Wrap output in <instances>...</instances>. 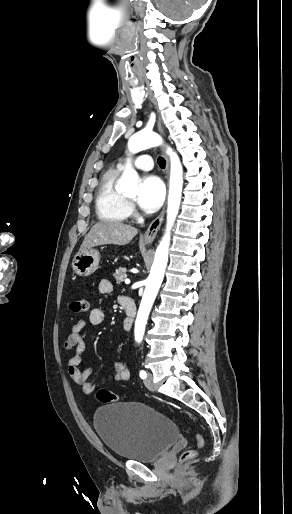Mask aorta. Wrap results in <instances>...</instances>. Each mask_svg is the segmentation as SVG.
Listing matches in <instances>:
<instances>
[{"label":"aorta","instance_id":"1","mask_svg":"<svg viewBox=\"0 0 292 514\" xmlns=\"http://www.w3.org/2000/svg\"><path fill=\"white\" fill-rule=\"evenodd\" d=\"M160 136L156 132L150 130H142L135 136H132L128 142V148L132 154L148 150V148H155L160 146ZM166 154L170 158V180H169V196L167 206V226L166 234L160 242L155 258L154 264L151 268V274L146 280V288L141 300L140 308L138 310L135 322V340L141 342L144 336L146 322L148 320L149 312L153 306V302L159 292V288L163 282L167 262L168 252L170 246V230L176 220L179 212L183 188V168L181 162L171 148H167ZM120 186L124 192L129 194H136L138 190V174L133 168H128L123 172V178L120 180Z\"/></svg>","mask_w":292,"mask_h":514}]
</instances>
